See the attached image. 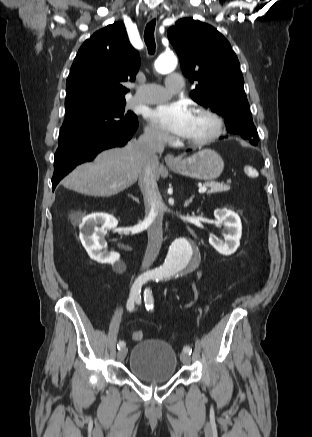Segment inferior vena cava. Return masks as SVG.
<instances>
[{
    "label": "inferior vena cava",
    "instance_id": "inferior-vena-cava-1",
    "mask_svg": "<svg viewBox=\"0 0 312 437\" xmlns=\"http://www.w3.org/2000/svg\"><path fill=\"white\" fill-rule=\"evenodd\" d=\"M163 135L155 129H148L138 139L139 153L144 160V170L139 176V187L145 204V221L148 224V245L142 261V269H148L159 254L162 240L163 207L156 182L155 169L158 163L157 153L164 150Z\"/></svg>",
    "mask_w": 312,
    "mask_h": 437
}]
</instances>
